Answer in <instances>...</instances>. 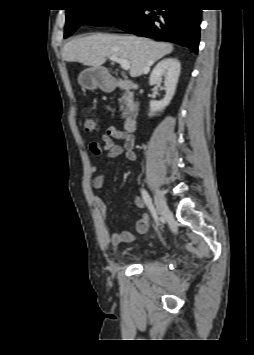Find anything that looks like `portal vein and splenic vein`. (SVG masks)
Returning <instances> with one entry per match:
<instances>
[{"label": "portal vein and splenic vein", "instance_id": "18ae733b", "mask_svg": "<svg viewBox=\"0 0 254 355\" xmlns=\"http://www.w3.org/2000/svg\"><path fill=\"white\" fill-rule=\"evenodd\" d=\"M109 59L113 62L119 63L123 70H128L130 68V61L128 59H123L116 56H111Z\"/></svg>", "mask_w": 254, "mask_h": 355}]
</instances>
